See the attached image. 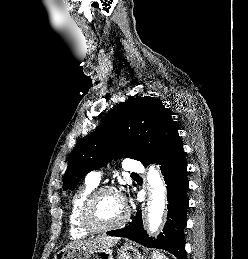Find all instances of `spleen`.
<instances>
[{
	"instance_id": "1",
	"label": "spleen",
	"mask_w": 248,
	"mask_h": 259,
	"mask_svg": "<svg viewBox=\"0 0 248 259\" xmlns=\"http://www.w3.org/2000/svg\"><path fill=\"white\" fill-rule=\"evenodd\" d=\"M153 259H169L164 254H161L160 252L156 251L153 253Z\"/></svg>"
}]
</instances>
